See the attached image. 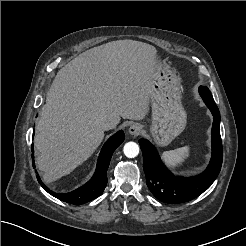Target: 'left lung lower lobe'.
Listing matches in <instances>:
<instances>
[{
	"instance_id": "1",
	"label": "left lung lower lobe",
	"mask_w": 246,
	"mask_h": 246,
	"mask_svg": "<svg viewBox=\"0 0 246 246\" xmlns=\"http://www.w3.org/2000/svg\"><path fill=\"white\" fill-rule=\"evenodd\" d=\"M199 93L213 114L212 158L203 173L190 178L173 176L162 164L154 146L147 140L139 141L147 186L157 199L165 203H183L196 198L211 186L222 166L220 112L207 87L200 86Z\"/></svg>"
}]
</instances>
